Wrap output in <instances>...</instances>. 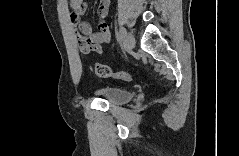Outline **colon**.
<instances>
[{"label": "colon", "mask_w": 239, "mask_h": 156, "mask_svg": "<svg viewBox=\"0 0 239 156\" xmlns=\"http://www.w3.org/2000/svg\"><path fill=\"white\" fill-rule=\"evenodd\" d=\"M94 72L98 77L101 78H116L124 81H131V76L121 71H115L109 66L102 64H94Z\"/></svg>", "instance_id": "5ec220e1"}]
</instances>
